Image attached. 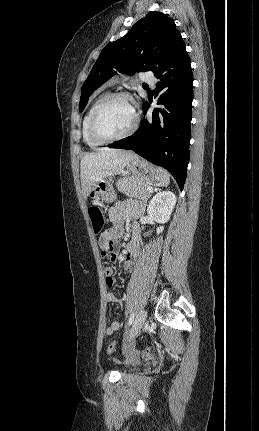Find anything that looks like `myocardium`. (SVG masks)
I'll return each instance as SVG.
<instances>
[{"label": "myocardium", "instance_id": "obj_1", "mask_svg": "<svg viewBox=\"0 0 259 431\" xmlns=\"http://www.w3.org/2000/svg\"><path fill=\"white\" fill-rule=\"evenodd\" d=\"M116 99H126L132 104L133 111H134L133 124L126 132H124L120 135L111 136V137L103 136L98 131V120H99L100 114L102 113L104 108L109 103H111L112 101H114ZM139 123H140L139 115L135 109L134 102H133L131 95L127 92H115V93H110V94L106 95L105 97H103L101 99V101L97 104V106L95 107V109L91 115L90 122H89V132H90V136L95 141L102 143V144L110 143V142L118 141L121 139H125V138L131 136L132 134H134L139 127Z\"/></svg>", "mask_w": 259, "mask_h": 431}]
</instances>
